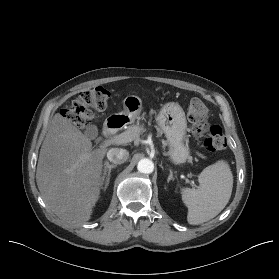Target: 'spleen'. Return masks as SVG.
<instances>
[{
    "label": "spleen",
    "mask_w": 279,
    "mask_h": 279,
    "mask_svg": "<svg viewBox=\"0 0 279 279\" xmlns=\"http://www.w3.org/2000/svg\"><path fill=\"white\" fill-rule=\"evenodd\" d=\"M197 189H182V200L188 208L187 221L198 225L216 217L227 205L233 188V175L225 160L206 167L198 177Z\"/></svg>",
    "instance_id": "obj_1"
}]
</instances>
